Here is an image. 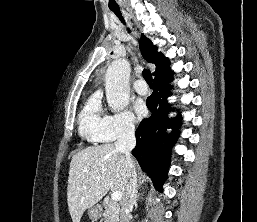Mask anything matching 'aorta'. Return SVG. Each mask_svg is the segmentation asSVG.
<instances>
[{"label": "aorta", "instance_id": "aorta-1", "mask_svg": "<svg viewBox=\"0 0 257 222\" xmlns=\"http://www.w3.org/2000/svg\"><path fill=\"white\" fill-rule=\"evenodd\" d=\"M129 76L130 65L125 59L113 61L106 71V98L113 112L123 110L129 103Z\"/></svg>", "mask_w": 257, "mask_h": 222}]
</instances>
